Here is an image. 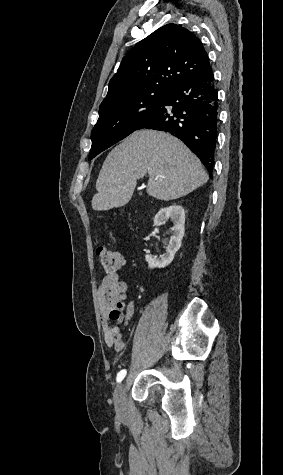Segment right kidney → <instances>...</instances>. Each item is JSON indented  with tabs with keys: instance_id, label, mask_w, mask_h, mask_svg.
I'll use <instances>...</instances> for the list:
<instances>
[{
	"instance_id": "1",
	"label": "right kidney",
	"mask_w": 283,
	"mask_h": 475,
	"mask_svg": "<svg viewBox=\"0 0 283 475\" xmlns=\"http://www.w3.org/2000/svg\"><path fill=\"white\" fill-rule=\"evenodd\" d=\"M167 218H170L173 222L171 232L173 236L166 247V253L160 255V257H152L149 253H146L145 259L148 261L149 267H166L174 259V255L178 249L181 247L182 238L184 236V224H185V212L182 206H177V204H172L168 208H161L158 214L154 218L155 226H163Z\"/></svg>"
}]
</instances>
